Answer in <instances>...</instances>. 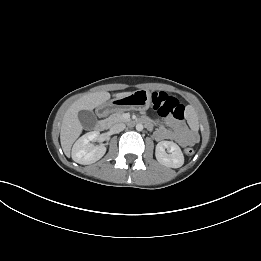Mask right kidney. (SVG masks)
<instances>
[{
  "mask_svg": "<svg viewBox=\"0 0 261 261\" xmlns=\"http://www.w3.org/2000/svg\"><path fill=\"white\" fill-rule=\"evenodd\" d=\"M99 134L89 132L80 137L72 148V159L82 165L95 163L106 153V147L103 145L93 146L92 141L96 140Z\"/></svg>",
  "mask_w": 261,
  "mask_h": 261,
  "instance_id": "1",
  "label": "right kidney"
}]
</instances>
